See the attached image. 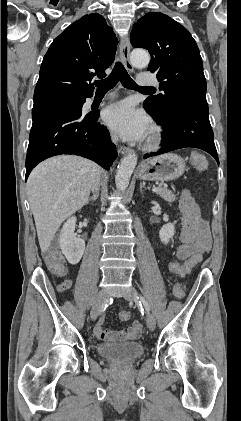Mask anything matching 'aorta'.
<instances>
[{"instance_id":"762f6f07","label":"aorta","mask_w":241,"mask_h":421,"mask_svg":"<svg viewBox=\"0 0 241 421\" xmlns=\"http://www.w3.org/2000/svg\"><path fill=\"white\" fill-rule=\"evenodd\" d=\"M130 60L136 67H146L150 62V55L144 49H134L131 52ZM137 159V155L131 153L121 160L115 176L116 188L119 191H125L127 189L131 175L137 164Z\"/></svg>"}]
</instances>
